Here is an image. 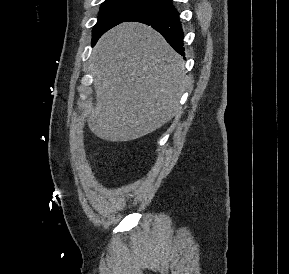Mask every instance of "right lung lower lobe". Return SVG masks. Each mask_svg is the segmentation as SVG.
Returning <instances> with one entry per match:
<instances>
[{
    "label": "right lung lower lobe",
    "mask_w": 289,
    "mask_h": 274,
    "mask_svg": "<svg viewBox=\"0 0 289 274\" xmlns=\"http://www.w3.org/2000/svg\"><path fill=\"white\" fill-rule=\"evenodd\" d=\"M126 21L141 22L152 26L160 32L168 43L181 55H185L183 47V30L178 12L171 0H165L152 6Z\"/></svg>",
    "instance_id": "1"
}]
</instances>
